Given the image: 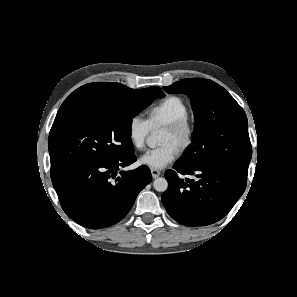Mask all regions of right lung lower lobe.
I'll return each instance as SVG.
<instances>
[{"label":"right lung lower lobe","instance_id":"right-lung-lower-lobe-1","mask_svg":"<svg viewBox=\"0 0 297 297\" xmlns=\"http://www.w3.org/2000/svg\"><path fill=\"white\" fill-rule=\"evenodd\" d=\"M135 161L134 153L89 160L51 175L64 212L76 223L90 229L119 222L130 211L139 192L152 180L147 166L120 171Z\"/></svg>","mask_w":297,"mask_h":297}]
</instances>
